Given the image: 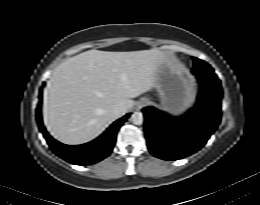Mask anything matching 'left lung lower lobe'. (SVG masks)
Masks as SVG:
<instances>
[{"label": "left lung lower lobe", "mask_w": 260, "mask_h": 205, "mask_svg": "<svg viewBox=\"0 0 260 205\" xmlns=\"http://www.w3.org/2000/svg\"><path fill=\"white\" fill-rule=\"evenodd\" d=\"M200 83L196 106L181 118L145 107V133L150 152L163 160H178L201 149L221 120L220 80L194 74Z\"/></svg>", "instance_id": "0a47b994"}]
</instances>
